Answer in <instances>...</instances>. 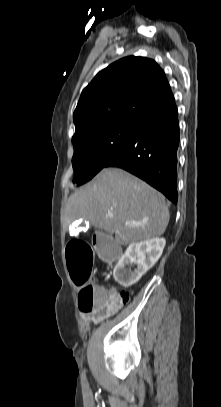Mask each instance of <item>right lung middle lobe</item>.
Masks as SVG:
<instances>
[{"label":"right lung middle lobe","instance_id":"1","mask_svg":"<svg viewBox=\"0 0 221 407\" xmlns=\"http://www.w3.org/2000/svg\"><path fill=\"white\" fill-rule=\"evenodd\" d=\"M137 124L124 123L105 127L79 138L74 144L73 183L84 184L126 143Z\"/></svg>","mask_w":221,"mask_h":407}]
</instances>
